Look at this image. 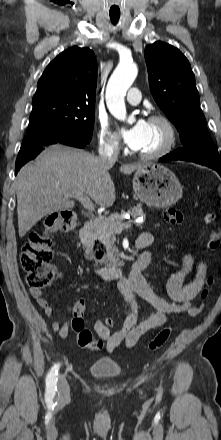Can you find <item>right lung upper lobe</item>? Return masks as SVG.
Returning <instances> with one entry per match:
<instances>
[{
    "label": "right lung upper lobe",
    "mask_w": 221,
    "mask_h": 440,
    "mask_svg": "<svg viewBox=\"0 0 221 440\" xmlns=\"http://www.w3.org/2000/svg\"><path fill=\"white\" fill-rule=\"evenodd\" d=\"M97 61L89 48L71 47L45 69L37 84L33 104L47 102L94 104Z\"/></svg>",
    "instance_id": "right-lung-upper-lobe-1"
}]
</instances>
